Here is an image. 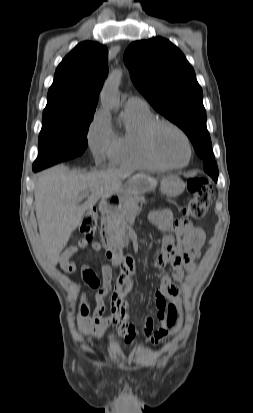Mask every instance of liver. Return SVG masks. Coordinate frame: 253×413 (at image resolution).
Segmentation results:
<instances>
[{"instance_id":"obj_1","label":"liver","mask_w":253,"mask_h":413,"mask_svg":"<svg viewBox=\"0 0 253 413\" xmlns=\"http://www.w3.org/2000/svg\"><path fill=\"white\" fill-rule=\"evenodd\" d=\"M130 174L117 169L92 173L69 171L63 165L41 172L34 196L41 252L55 266L59 255L69 241L71 233L80 225L84 213L99 199L117 193ZM91 195L79 205L84 192Z\"/></svg>"}]
</instances>
